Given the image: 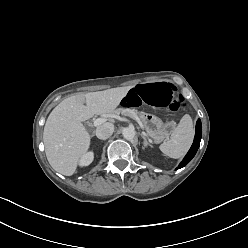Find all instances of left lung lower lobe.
Listing matches in <instances>:
<instances>
[{
	"instance_id": "1",
	"label": "left lung lower lobe",
	"mask_w": 248,
	"mask_h": 248,
	"mask_svg": "<svg viewBox=\"0 0 248 248\" xmlns=\"http://www.w3.org/2000/svg\"><path fill=\"white\" fill-rule=\"evenodd\" d=\"M201 137H202V126H201L200 119H198L196 123V133H195L193 144L190 150L188 151V153L186 154V156L184 157L183 161L179 164L177 169L186 166L191 161V159L195 156L199 148V145H200Z\"/></svg>"
}]
</instances>
